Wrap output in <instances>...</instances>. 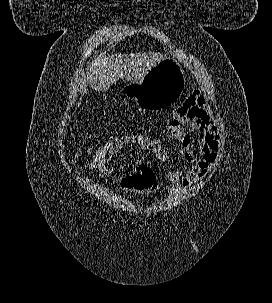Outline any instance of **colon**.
<instances>
[{
  "label": "colon",
  "mask_w": 272,
  "mask_h": 303,
  "mask_svg": "<svg viewBox=\"0 0 272 303\" xmlns=\"http://www.w3.org/2000/svg\"><path fill=\"white\" fill-rule=\"evenodd\" d=\"M121 136L109 139L83 166L88 175H100L111 167L115 154L123 147ZM157 186L156 175L150 167L142 166L136 171L134 191L147 192Z\"/></svg>",
  "instance_id": "1"
}]
</instances>
